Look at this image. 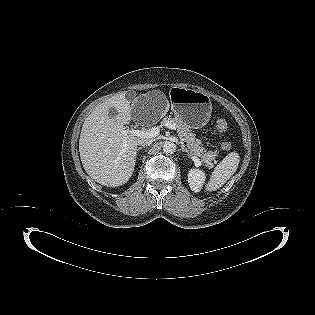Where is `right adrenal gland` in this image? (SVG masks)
<instances>
[{"instance_id": "2a0ac1e0", "label": "right adrenal gland", "mask_w": 315, "mask_h": 315, "mask_svg": "<svg viewBox=\"0 0 315 315\" xmlns=\"http://www.w3.org/2000/svg\"><path fill=\"white\" fill-rule=\"evenodd\" d=\"M144 148H145V146L139 147V148L137 149V152H139L141 149H144Z\"/></svg>"}]
</instances>
